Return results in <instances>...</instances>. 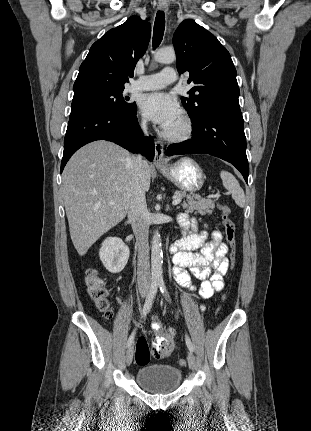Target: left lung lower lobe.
Here are the masks:
<instances>
[{"label": "left lung lower lobe", "instance_id": "obj_1", "mask_svg": "<svg viewBox=\"0 0 311 431\" xmlns=\"http://www.w3.org/2000/svg\"><path fill=\"white\" fill-rule=\"evenodd\" d=\"M192 139L170 145L168 156L204 153L233 164L248 182L249 164L246 156V137L239 107H222L194 122Z\"/></svg>", "mask_w": 311, "mask_h": 431}]
</instances>
